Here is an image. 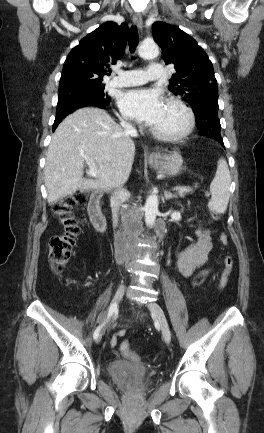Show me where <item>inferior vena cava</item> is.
<instances>
[{"label": "inferior vena cava", "instance_id": "1", "mask_svg": "<svg viewBox=\"0 0 264 433\" xmlns=\"http://www.w3.org/2000/svg\"><path fill=\"white\" fill-rule=\"evenodd\" d=\"M121 126L124 129V133L127 135H135L137 133L136 129L127 121L122 120ZM124 183H120L117 185L116 191L111 196V208H112V217H113V224L116 225L118 221V213L120 210L121 214V206L123 204V201L128 196V191L123 188Z\"/></svg>", "mask_w": 264, "mask_h": 433}]
</instances>
